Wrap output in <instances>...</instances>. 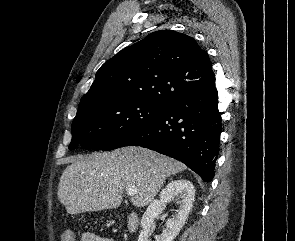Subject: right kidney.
I'll use <instances>...</instances> for the list:
<instances>
[{"instance_id":"right-kidney-1","label":"right kidney","mask_w":295,"mask_h":241,"mask_svg":"<svg viewBox=\"0 0 295 241\" xmlns=\"http://www.w3.org/2000/svg\"><path fill=\"white\" fill-rule=\"evenodd\" d=\"M195 197L193 184L189 180L179 179L171 181L147 208L141 219L142 231L138 241H151L150 235L155 229L154 220L161 214L166 204L172 199L178 200L179 209L166 222V228L161 235L155 236V241H173L179 234L191 211Z\"/></svg>"}]
</instances>
